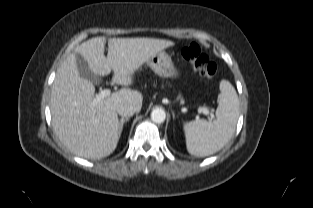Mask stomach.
I'll return each mask as SVG.
<instances>
[{
	"mask_svg": "<svg viewBox=\"0 0 313 208\" xmlns=\"http://www.w3.org/2000/svg\"><path fill=\"white\" fill-rule=\"evenodd\" d=\"M147 65L162 78H178L180 73L174 66L171 57L165 52L161 51L152 56Z\"/></svg>",
	"mask_w": 313,
	"mask_h": 208,
	"instance_id": "obj_1",
	"label": "stomach"
}]
</instances>
